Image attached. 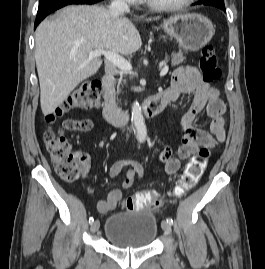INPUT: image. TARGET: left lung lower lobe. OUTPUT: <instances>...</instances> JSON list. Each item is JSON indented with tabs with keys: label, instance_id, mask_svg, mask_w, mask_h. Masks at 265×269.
<instances>
[{
	"label": "left lung lower lobe",
	"instance_id": "left-lung-lower-lobe-1",
	"mask_svg": "<svg viewBox=\"0 0 265 269\" xmlns=\"http://www.w3.org/2000/svg\"><path fill=\"white\" fill-rule=\"evenodd\" d=\"M198 4L214 6V7L222 9L225 12L224 2H219V1H215V0H208V1H204V2H199Z\"/></svg>",
	"mask_w": 265,
	"mask_h": 269
}]
</instances>
